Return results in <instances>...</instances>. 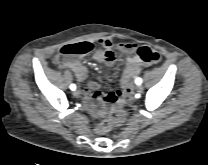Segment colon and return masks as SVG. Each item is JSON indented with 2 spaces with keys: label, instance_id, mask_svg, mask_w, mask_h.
I'll return each mask as SVG.
<instances>
[{
  "label": "colon",
  "instance_id": "colon-1",
  "mask_svg": "<svg viewBox=\"0 0 208 165\" xmlns=\"http://www.w3.org/2000/svg\"><path fill=\"white\" fill-rule=\"evenodd\" d=\"M92 51V46L86 42H77L64 45L58 52V60H68L77 58L79 56L88 54ZM138 58L143 64H157L161 61L160 54L148 47H141L137 51ZM121 93L120 106L116 111V114L111 119L102 121L95 129V133L98 135L109 132L112 128L122 125L126 120V112L124 110L123 99L128 93V89L123 86L119 91Z\"/></svg>",
  "mask_w": 208,
  "mask_h": 165
}]
</instances>
